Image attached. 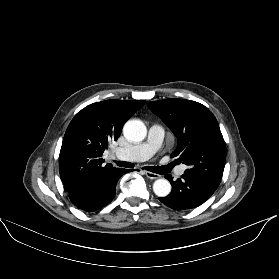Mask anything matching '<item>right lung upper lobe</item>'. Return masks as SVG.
Here are the masks:
<instances>
[{"mask_svg": "<svg viewBox=\"0 0 279 279\" xmlns=\"http://www.w3.org/2000/svg\"><path fill=\"white\" fill-rule=\"evenodd\" d=\"M144 104L145 100H106L90 104L75 115L59 155L60 177L68 193L82 190L119 170L104 164L103 152Z\"/></svg>", "mask_w": 279, "mask_h": 279, "instance_id": "1", "label": "right lung upper lobe"}]
</instances>
